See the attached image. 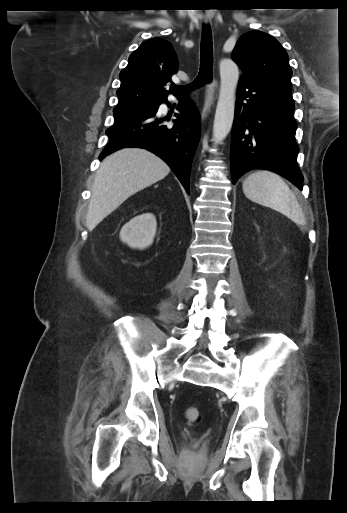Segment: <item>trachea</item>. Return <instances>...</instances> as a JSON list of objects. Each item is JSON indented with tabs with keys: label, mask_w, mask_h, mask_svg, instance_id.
<instances>
[{
	"label": "trachea",
	"mask_w": 347,
	"mask_h": 513,
	"mask_svg": "<svg viewBox=\"0 0 347 513\" xmlns=\"http://www.w3.org/2000/svg\"><path fill=\"white\" fill-rule=\"evenodd\" d=\"M213 72V45L212 32L209 25H204L200 46V69L195 80L186 86H178L180 90H192L203 86L212 80ZM175 87V85H173Z\"/></svg>",
	"instance_id": "trachea-1"
}]
</instances>
